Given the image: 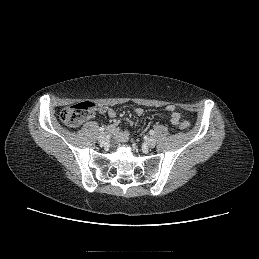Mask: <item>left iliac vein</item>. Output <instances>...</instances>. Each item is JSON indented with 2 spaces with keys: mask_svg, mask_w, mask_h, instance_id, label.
Returning a JSON list of instances; mask_svg holds the SVG:
<instances>
[{
  "mask_svg": "<svg viewBox=\"0 0 259 259\" xmlns=\"http://www.w3.org/2000/svg\"><path fill=\"white\" fill-rule=\"evenodd\" d=\"M156 144V140L153 138V137H149L147 140H146V145L150 148L154 147Z\"/></svg>",
  "mask_w": 259,
  "mask_h": 259,
  "instance_id": "4c4485c4",
  "label": "left iliac vein"
}]
</instances>
